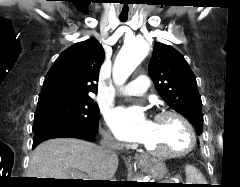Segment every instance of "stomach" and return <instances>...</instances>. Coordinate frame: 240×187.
<instances>
[{
    "instance_id": "stomach-1",
    "label": "stomach",
    "mask_w": 240,
    "mask_h": 187,
    "mask_svg": "<svg viewBox=\"0 0 240 187\" xmlns=\"http://www.w3.org/2000/svg\"><path fill=\"white\" fill-rule=\"evenodd\" d=\"M143 167L156 179H162L167 174V167L165 163L156 160L149 159L148 163L144 164Z\"/></svg>"
}]
</instances>
